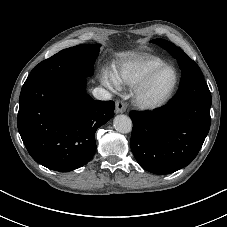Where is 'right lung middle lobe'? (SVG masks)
<instances>
[{
  "label": "right lung middle lobe",
  "mask_w": 227,
  "mask_h": 227,
  "mask_svg": "<svg viewBox=\"0 0 227 227\" xmlns=\"http://www.w3.org/2000/svg\"><path fill=\"white\" fill-rule=\"evenodd\" d=\"M100 46L78 45L58 52L34 67L22 89L49 79L69 76H91Z\"/></svg>",
  "instance_id": "1"
}]
</instances>
